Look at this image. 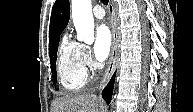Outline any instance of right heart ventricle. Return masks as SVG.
I'll use <instances>...</instances> for the list:
<instances>
[{"label":"right heart ventricle","mask_w":193,"mask_h":112,"mask_svg":"<svg viewBox=\"0 0 193 112\" xmlns=\"http://www.w3.org/2000/svg\"><path fill=\"white\" fill-rule=\"evenodd\" d=\"M57 75L62 88L69 92L81 90L87 82L80 44L63 37L57 55Z\"/></svg>","instance_id":"obj_1"}]
</instances>
